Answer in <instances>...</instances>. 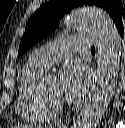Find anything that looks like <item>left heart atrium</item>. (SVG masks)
<instances>
[{
    "mask_svg": "<svg viewBox=\"0 0 125 128\" xmlns=\"http://www.w3.org/2000/svg\"><path fill=\"white\" fill-rule=\"evenodd\" d=\"M89 83L87 69L78 62H69L58 76V95L63 102L74 103L84 95Z\"/></svg>",
    "mask_w": 125,
    "mask_h": 128,
    "instance_id": "39dd6f15",
    "label": "left heart atrium"
}]
</instances>
